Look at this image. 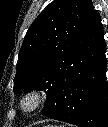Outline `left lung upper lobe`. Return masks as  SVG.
Returning a JSON list of instances; mask_svg holds the SVG:
<instances>
[{
  "label": "left lung upper lobe",
  "instance_id": "left-lung-upper-lobe-1",
  "mask_svg": "<svg viewBox=\"0 0 108 127\" xmlns=\"http://www.w3.org/2000/svg\"><path fill=\"white\" fill-rule=\"evenodd\" d=\"M89 4L90 0H55L32 23L18 56L16 93L48 89L45 107L53 100Z\"/></svg>",
  "mask_w": 108,
  "mask_h": 127
}]
</instances>
